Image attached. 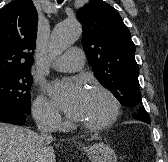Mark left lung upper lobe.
Listing matches in <instances>:
<instances>
[{
  "mask_svg": "<svg viewBox=\"0 0 168 162\" xmlns=\"http://www.w3.org/2000/svg\"><path fill=\"white\" fill-rule=\"evenodd\" d=\"M83 27L82 45L93 71L123 106L142 109L135 45L120 14L103 0H91L78 9Z\"/></svg>",
  "mask_w": 168,
  "mask_h": 162,
  "instance_id": "5c2ea615",
  "label": "left lung upper lobe"
}]
</instances>
